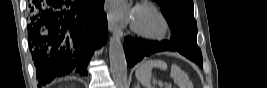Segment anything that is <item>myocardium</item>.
Wrapping results in <instances>:
<instances>
[{
  "label": "myocardium",
  "mask_w": 267,
  "mask_h": 88,
  "mask_svg": "<svg viewBox=\"0 0 267 88\" xmlns=\"http://www.w3.org/2000/svg\"><path fill=\"white\" fill-rule=\"evenodd\" d=\"M140 14L149 16L154 22V26H142L137 20V16ZM131 29L144 38L162 40L165 39L169 33V24L166 18L157 9L147 4H140L133 10Z\"/></svg>",
  "instance_id": "f54148a6"
}]
</instances>
